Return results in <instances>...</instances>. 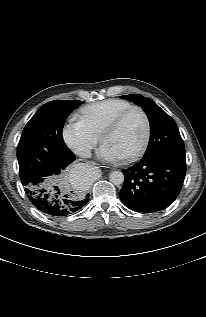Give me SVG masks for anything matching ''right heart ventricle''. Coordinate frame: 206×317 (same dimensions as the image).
<instances>
[{"mask_svg":"<svg viewBox=\"0 0 206 317\" xmlns=\"http://www.w3.org/2000/svg\"><path fill=\"white\" fill-rule=\"evenodd\" d=\"M131 106V103L124 100L108 99L81 108L79 111V119H81L95 135L100 136L104 128L115 116Z\"/></svg>","mask_w":206,"mask_h":317,"instance_id":"obj_1","label":"right heart ventricle"}]
</instances>
